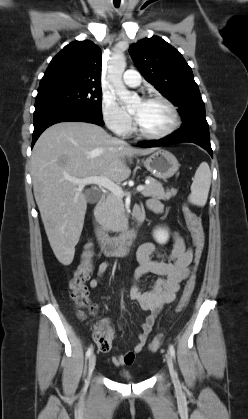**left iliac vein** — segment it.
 I'll return each mask as SVG.
<instances>
[{
    "label": "left iliac vein",
    "mask_w": 248,
    "mask_h": 419,
    "mask_svg": "<svg viewBox=\"0 0 248 419\" xmlns=\"http://www.w3.org/2000/svg\"><path fill=\"white\" fill-rule=\"evenodd\" d=\"M166 362H167V366H168L171 377L175 379L177 377V374L174 370L173 361L169 354L166 355Z\"/></svg>",
    "instance_id": "1"
}]
</instances>
